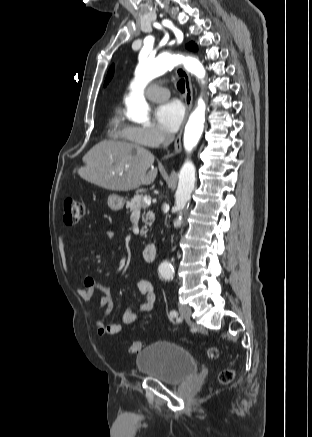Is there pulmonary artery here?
Wrapping results in <instances>:
<instances>
[{
    "label": "pulmonary artery",
    "mask_w": 312,
    "mask_h": 437,
    "mask_svg": "<svg viewBox=\"0 0 312 437\" xmlns=\"http://www.w3.org/2000/svg\"><path fill=\"white\" fill-rule=\"evenodd\" d=\"M145 94L152 101H163L170 95L169 90L161 83H151L146 88Z\"/></svg>",
    "instance_id": "e3ab8cb5"
}]
</instances>
